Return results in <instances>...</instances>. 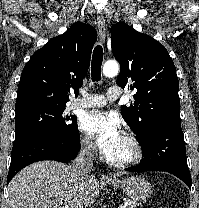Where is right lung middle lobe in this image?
Returning a JSON list of instances; mask_svg holds the SVG:
<instances>
[{"instance_id":"dd1d6c3e","label":"right lung middle lobe","mask_w":199,"mask_h":208,"mask_svg":"<svg viewBox=\"0 0 199 208\" xmlns=\"http://www.w3.org/2000/svg\"><path fill=\"white\" fill-rule=\"evenodd\" d=\"M65 108L34 106L16 110L15 140L32 134L56 138L71 136L78 126L76 117L66 115Z\"/></svg>"}]
</instances>
